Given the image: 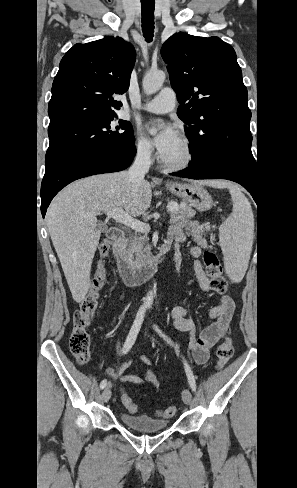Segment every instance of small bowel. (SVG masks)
Returning a JSON list of instances; mask_svg holds the SVG:
<instances>
[{
    "label": "small bowel",
    "mask_w": 297,
    "mask_h": 488,
    "mask_svg": "<svg viewBox=\"0 0 297 488\" xmlns=\"http://www.w3.org/2000/svg\"><path fill=\"white\" fill-rule=\"evenodd\" d=\"M187 241V236L180 227L173 226L169 229L164 244L168 245L173 250V260L177 272L181 273L182 255L180 246ZM202 249L200 246H192L190 248V255L194 259V274L197 279L200 289L208 292L212 289L210 280L205 274L202 265L199 261ZM234 312V302L227 294H222L219 303L212 307L209 311V318L211 323L204 328L201 333H197V324L190 317L189 310L185 306H176L171 310V320L173 326L180 330L189 333V351L194 360L198 364H204L210 355L211 348L216 345L223 334L224 329L230 323ZM140 360L146 366H153L154 362L146 355H141ZM127 366H122L118 371L112 368H106L104 373L112 381L120 380L123 382H131L139 386H143L146 381L153 388L158 389L159 384L153 373L147 368L143 369V378L133 375L125 374ZM110 386V384H109ZM120 390L127 391L125 386H121Z\"/></svg>",
    "instance_id": "c3829d8e"
}]
</instances>
